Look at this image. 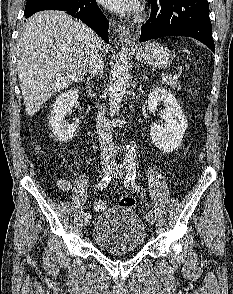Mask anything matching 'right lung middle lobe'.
<instances>
[{"instance_id": "obj_1", "label": "right lung middle lobe", "mask_w": 233, "mask_h": 294, "mask_svg": "<svg viewBox=\"0 0 233 294\" xmlns=\"http://www.w3.org/2000/svg\"><path fill=\"white\" fill-rule=\"evenodd\" d=\"M55 1H60V0H28L25 6V13L27 14L30 11L50 2H55Z\"/></svg>"}]
</instances>
